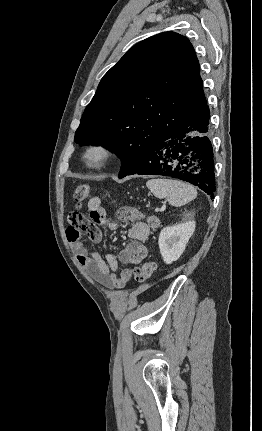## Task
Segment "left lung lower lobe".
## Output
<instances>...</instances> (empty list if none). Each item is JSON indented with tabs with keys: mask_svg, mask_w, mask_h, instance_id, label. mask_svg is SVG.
<instances>
[{
	"mask_svg": "<svg viewBox=\"0 0 262 431\" xmlns=\"http://www.w3.org/2000/svg\"><path fill=\"white\" fill-rule=\"evenodd\" d=\"M209 119L206 104L196 117L159 141L127 175L177 178L213 196L215 174Z\"/></svg>",
	"mask_w": 262,
	"mask_h": 431,
	"instance_id": "0a47b994",
	"label": "left lung lower lobe"
}]
</instances>
